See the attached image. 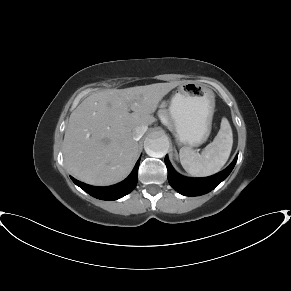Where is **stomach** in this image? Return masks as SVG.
Returning a JSON list of instances; mask_svg holds the SVG:
<instances>
[{"label": "stomach", "mask_w": 291, "mask_h": 291, "mask_svg": "<svg viewBox=\"0 0 291 291\" xmlns=\"http://www.w3.org/2000/svg\"><path fill=\"white\" fill-rule=\"evenodd\" d=\"M215 111V94L193 81L181 83L169 106V117L179 144L197 147L210 135Z\"/></svg>", "instance_id": "obj_1"}]
</instances>
